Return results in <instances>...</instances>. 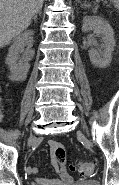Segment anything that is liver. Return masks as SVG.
Instances as JSON below:
<instances>
[{"label": "liver", "instance_id": "obj_1", "mask_svg": "<svg viewBox=\"0 0 119 185\" xmlns=\"http://www.w3.org/2000/svg\"><path fill=\"white\" fill-rule=\"evenodd\" d=\"M44 0H0V48L28 28Z\"/></svg>", "mask_w": 119, "mask_h": 185}]
</instances>
